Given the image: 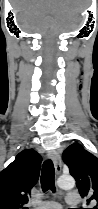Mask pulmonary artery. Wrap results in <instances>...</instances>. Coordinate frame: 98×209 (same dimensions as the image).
<instances>
[{
	"instance_id": "e3ab8cb5",
	"label": "pulmonary artery",
	"mask_w": 98,
	"mask_h": 209,
	"mask_svg": "<svg viewBox=\"0 0 98 209\" xmlns=\"http://www.w3.org/2000/svg\"><path fill=\"white\" fill-rule=\"evenodd\" d=\"M65 202L70 206H76L80 203L79 195L75 192H69L65 198ZM36 209H62V207L57 202L48 201L41 204Z\"/></svg>"
}]
</instances>
